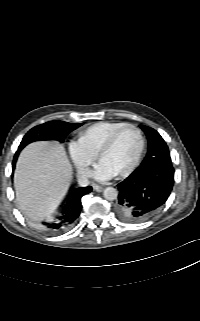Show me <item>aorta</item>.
I'll return each instance as SVG.
<instances>
[{
  "label": "aorta",
  "mask_w": 200,
  "mask_h": 321,
  "mask_svg": "<svg viewBox=\"0 0 200 321\" xmlns=\"http://www.w3.org/2000/svg\"><path fill=\"white\" fill-rule=\"evenodd\" d=\"M118 192L113 187H107L104 192L103 196L106 200L113 201L117 198Z\"/></svg>",
  "instance_id": "1"
}]
</instances>
